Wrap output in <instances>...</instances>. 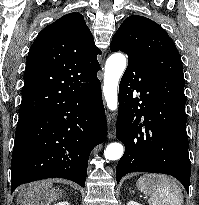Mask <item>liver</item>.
<instances>
[{
    "label": "liver",
    "instance_id": "obj_1",
    "mask_svg": "<svg viewBox=\"0 0 199 205\" xmlns=\"http://www.w3.org/2000/svg\"><path fill=\"white\" fill-rule=\"evenodd\" d=\"M52 182L36 183L27 192H22L19 200L25 205H46L62 196V191L51 189Z\"/></svg>",
    "mask_w": 199,
    "mask_h": 205
}]
</instances>
